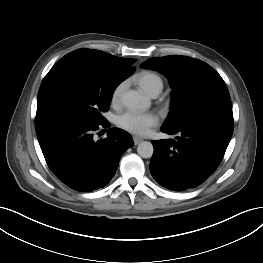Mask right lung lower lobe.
Wrapping results in <instances>:
<instances>
[{
	"instance_id": "98d812e1",
	"label": "right lung lower lobe",
	"mask_w": 263,
	"mask_h": 263,
	"mask_svg": "<svg viewBox=\"0 0 263 263\" xmlns=\"http://www.w3.org/2000/svg\"><path fill=\"white\" fill-rule=\"evenodd\" d=\"M100 124L53 121L36 127L37 138L52 172L68 187L91 192L113 178L122 154L134 145L129 133L108 129L105 139L93 136Z\"/></svg>"
}]
</instances>
